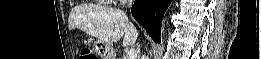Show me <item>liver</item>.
Segmentation results:
<instances>
[{
	"mask_svg": "<svg viewBox=\"0 0 261 59\" xmlns=\"http://www.w3.org/2000/svg\"><path fill=\"white\" fill-rule=\"evenodd\" d=\"M70 30L78 28L106 43H115L123 38L122 45L132 46L138 38V31L129 22L122 10L96 8L86 12L73 11L69 17Z\"/></svg>",
	"mask_w": 261,
	"mask_h": 59,
	"instance_id": "6515ba94",
	"label": "liver"
}]
</instances>
